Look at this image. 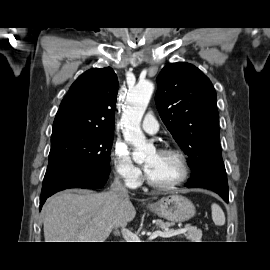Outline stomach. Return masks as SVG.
Masks as SVG:
<instances>
[{
    "label": "stomach",
    "mask_w": 270,
    "mask_h": 270,
    "mask_svg": "<svg viewBox=\"0 0 270 270\" xmlns=\"http://www.w3.org/2000/svg\"><path fill=\"white\" fill-rule=\"evenodd\" d=\"M149 208L160 217L177 223L188 221L196 213L193 203L178 194L163 197Z\"/></svg>",
    "instance_id": "1"
}]
</instances>
